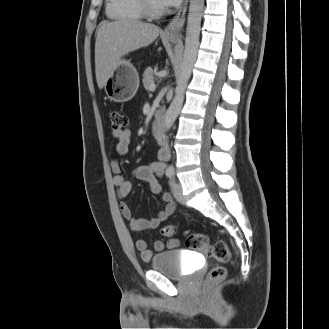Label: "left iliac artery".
<instances>
[{"mask_svg": "<svg viewBox=\"0 0 329 329\" xmlns=\"http://www.w3.org/2000/svg\"><path fill=\"white\" fill-rule=\"evenodd\" d=\"M169 183H170V185L173 187V185H174V180L171 179Z\"/></svg>", "mask_w": 329, "mask_h": 329, "instance_id": "left-iliac-artery-1", "label": "left iliac artery"}]
</instances>
